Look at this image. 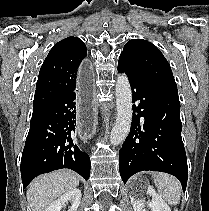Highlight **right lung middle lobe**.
I'll return each instance as SVG.
<instances>
[{
	"label": "right lung middle lobe",
	"instance_id": "right-lung-middle-lobe-1",
	"mask_svg": "<svg viewBox=\"0 0 209 211\" xmlns=\"http://www.w3.org/2000/svg\"><path fill=\"white\" fill-rule=\"evenodd\" d=\"M35 114H36V113L34 112L33 115H32V118L35 116Z\"/></svg>",
	"mask_w": 209,
	"mask_h": 211
}]
</instances>
